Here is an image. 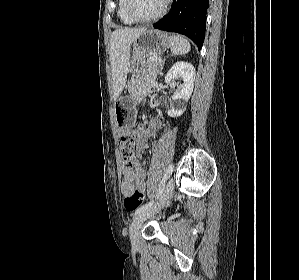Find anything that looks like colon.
<instances>
[{
	"label": "colon",
	"mask_w": 299,
	"mask_h": 280,
	"mask_svg": "<svg viewBox=\"0 0 299 280\" xmlns=\"http://www.w3.org/2000/svg\"><path fill=\"white\" fill-rule=\"evenodd\" d=\"M144 133L143 125H134V128L129 131V135H125L121 139L120 152L123 159V171L133 170L138 166L134 157V150L136 147L138 136ZM143 195L134 191L130 196L125 197L124 207L126 210L132 212L139 208L143 202Z\"/></svg>",
	"instance_id": "5ec220e1"
}]
</instances>
